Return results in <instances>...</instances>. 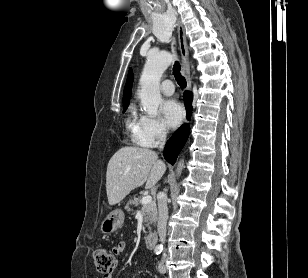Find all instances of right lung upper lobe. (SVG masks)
Here are the masks:
<instances>
[{"label":"right lung upper lobe","instance_id":"right-lung-upper-lobe-1","mask_svg":"<svg viewBox=\"0 0 308 278\" xmlns=\"http://www.w3.org/2000/svg\"><path fill=\"white\" fill-rule=\"evenodd\" d=\"M132 81H133V73H132V70L130 69L129 73H128V77H127V83H126L125 88H124L123 100L125 102H128V100L131 97V87H132L131 84H132Z\"/></svg>","mask_w":308,"mask_h":278}]
</instances>
